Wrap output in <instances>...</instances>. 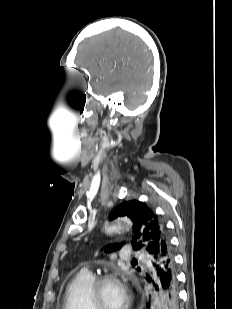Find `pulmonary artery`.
<instances>
[{
  "mask_svg": "<svg viewBox=\"0 0 232 309\" xmlns=\"http://www.w3.org/2000/svg\"><path fill=\"white\" fill-rule=\"evenodd\" d=\"M133 256L137 257V258L143 257V260H146V261L149 260V258L147 256H144L143 254H140V253H135ZM128 258H129L128 256L123 257L124 260H127ZM82 271L85 272V273L91 274V272L88 268H84Z\"/></svg>",
  "mask_w": 232,
  "mask_h": 309,
  "instance_id": "obj_1",
  "label": "pulmonary artery"
}]
</instances>
